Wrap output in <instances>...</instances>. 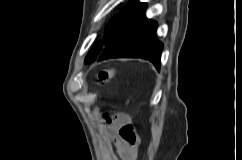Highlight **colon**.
<instances>
[{
    "label": "colon",
    "instance_id": "colon-1",
    "mask_svg": "<svg viewBox=\"0 0 242 160\" xmlns=\"http://www.w3.org/2000/svg\"><path fill=\"white\" fill-rule=\"evenodd\" d=\"M112 72L108 70H102L99 74V79L101 81L107 80L111 76ZM126 139L133 141L135 138L134 132L132 130V127H129L125 133Z\"/></svg>",
    "mask_w": 242,
    "mask_h": 160
}]
</instances>
